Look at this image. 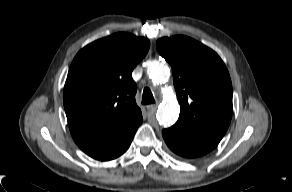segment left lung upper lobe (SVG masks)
<instances>
[{
    "label": "left lung upper lobe",
    "mask_w": 292,
    "mask_h": 192,
    "mask_svg": "<svg viewBox=\"0 0 292 192\" xmlns=\"http://www.w3.org/2000/svg\"><path fill=\"white\" fill-rule=\"evenodd\" d=\"M172 67L180 115L172 129L220 142L232 116V84L222 59L212 49L185 36L157 40Z\"/></svg>",
    "instance_id": "5c2ea615"
}]
</instances>
